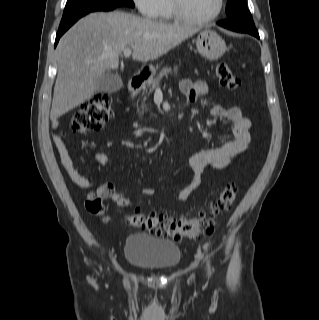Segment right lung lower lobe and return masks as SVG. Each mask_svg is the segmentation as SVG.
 I'll list each match as a JSON object with an SVG mask.
<instances>
[{
    "mask_svg": "<svg viewBox=\"0 0 319 320\" xmlns=\"http://www.w3.org/2000/svg\"><path fill=\"white\" fill-rule=\"evenodd\" d=\"M113 10V9H112ZM109 11V10H108ZM79 19V18H78ZM78 19L72 21L70 24L66 25V26H63V27H59V30L57 32V35H56V40H55V46L57 45L60 37L64 34V32L66 30H68Z\"/></svg>",
    "mask_w": 319,
    "mask_h": 320,
    "instance_id": "98d812e1",
    "label": "right lung lower lobe"
}]
</instances>
